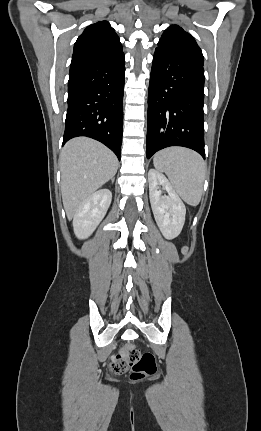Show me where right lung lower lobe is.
<instances>
[{"instance_id": "obj_1", "label": "right lung lower lobe", "mask_w": 261, "mask_h": 431, "mask_svg": "<svg viewBox=\"0 0 261 431\" xmlns=\"http://www.w3.org/2000/svg\"><path fill=\"white\" fill-rule=\"evenodd\" d=\"M124 53L72 58L63 144L87 136L120 160L123 124Z\"/></svg>"}]
</instances>
